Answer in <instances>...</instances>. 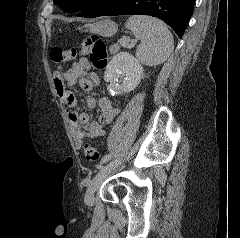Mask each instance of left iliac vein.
<instances>
[{
    "instance_id": "4c4485c4",
    "label": "left iliac vein",
    "mask_w": 240,
    "mask_h": 238,
    "mask_svg": "<svg viewBox=\"0 0 240 238\" xmlns=\"http://www.w3.org/2000/svg\"><path fill=\"white\" fill-rule=\"evenodd\" d=\"M121 160H114L109 164L103 166L100 171L96 174L93 180L90 182L86 195H85V203L89 206L94 204V194L99 189L100 185L104 181V179L115 170L120 164Z\"/></svg>"
}]
</instances>
